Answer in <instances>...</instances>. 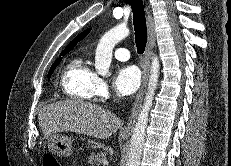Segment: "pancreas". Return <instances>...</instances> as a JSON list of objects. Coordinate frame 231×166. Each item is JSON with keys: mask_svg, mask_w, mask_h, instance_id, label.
<instances>
[{"mask_svg": "<svg viewBox=\"0 0 231 166\" xmlns=\"http://www.w3.org/2000/svg\"><path fill=\"white\" fill-rule=\"evenodd\" d=\"M106 152L92 153L88 158V163L91 166L98 165L106 159Z\"/></svg>", "mask_w": 231, "mask_h": 166, "instance_id": "pancreas-1", "label": "pancreas"}]
</instances>
